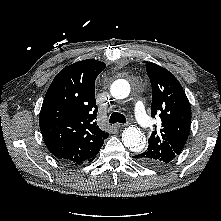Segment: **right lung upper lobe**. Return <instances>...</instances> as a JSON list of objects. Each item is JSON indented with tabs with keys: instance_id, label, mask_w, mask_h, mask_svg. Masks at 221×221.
<instances>
[{
	"instance_id": "right-lung-upper-lobe-1",
	"label": "right lung upper lobe",
	"mask_w": 221,
	"mask_h": 221,
	"mask_svg": "<svg viewBox=\"0 0 221 221\" xmlns=\"http://www.w3.org/2000/svg\"><path fill=\"white\" fill-rule=\"evenodd\" d=\"M106 65L87 59L65 67L46 92L39 125L49 151L71 163L89 161L109 133L97 123L95 80Z\"/></svg>"
}]
</instances>
